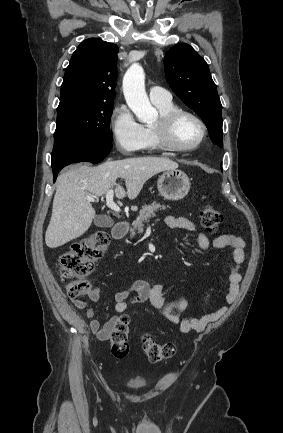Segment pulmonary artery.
<instances>
[{
	"instance_id": "1",
	"label": "pulmonary artery",
	"mask_w": 283,
	"mask_h": 433,
	"mask_svg": "<svg viewBox=\"0 0 283 433\" xmlns=\"http://www.w3.org/2000/svg\"><path fill=\"white\" fill-rule=\"evenodd\" d=\"M148 95L153 104L167 103L172 99L170 93L167 90L156 86L150 87L148 89Z\"/></svg>"
}]
</instances>
